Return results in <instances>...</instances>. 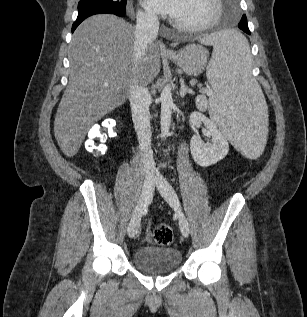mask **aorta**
I'll return each mask as SVG.
<instances>
[{
	"label": "aorta",
	"mask_w": 307,
	"mask_h": 317,
	"mask_svg": "<svg viewBox=\"0 0 307 317\" xmlns=\"http://www.w3.org/2000/svg\"><path fill=\"white\" fill-rule=\"evenodd\" d=\"M161 116H160V128L161 137L166 138L169 135L171 118H172V108H173V98L171 88L165 86L161 92Z\"/></svg>",
	"instance_id": "obj_1"
}]
</instances>
